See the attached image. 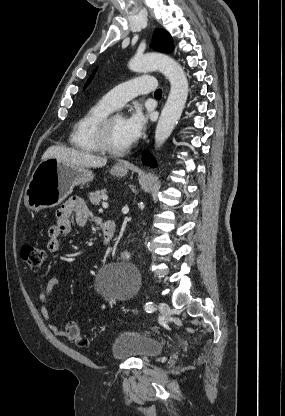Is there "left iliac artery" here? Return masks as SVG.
Returning a JSON list of instances; mask_svg holds the SVG:
<instances>
[{"label":"left iliac artery","mask_w":285,"mask_h":416,"mask_svg":"<svg viewBox=\"0 0 285 416\" xmlns=\"http://www.w3.org/2000/svg\"><path fill=\"white\" fill-rule=\"evenodd\" d=\"M146 312L148 313H152L153 311H155V306L152 302H147L144 306Z\"/></svg>","instance_id":"44dca946"}]
</instances>
